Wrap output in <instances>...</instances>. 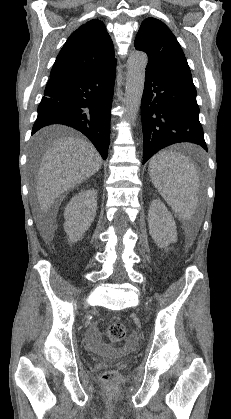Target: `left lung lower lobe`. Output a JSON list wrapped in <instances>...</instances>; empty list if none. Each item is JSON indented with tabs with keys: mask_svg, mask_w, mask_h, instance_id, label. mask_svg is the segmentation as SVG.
I'll return each mask as SVG.
<instances>
[{
	"mask_svg": "<svg viewBox=\"0 0 231 419\" xmlns=\"http://www.w3.org/2000/svg\"><path fill=\"white\" fill-rule=\"evenodd\" d=\"M192 80L146 71L141 102L143 164L157 151L180 142L207 150Z\"/></svg>",
	"mask_w": 231,
	"mask_h": 419,
	"instance_id": "obj_1",
	"label": "left lung lower lobe"
}]
</instances>
